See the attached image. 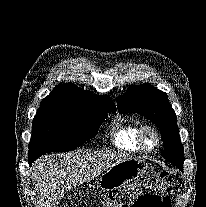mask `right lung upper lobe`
Listing matches in <instances>:
<instances>
[{
    "mask_svg": "<svg viewBox=\"0 0 206 207\" xmlns=\"http://www.w3.org/2000/svg\"><path fill=\"white\" fill-rule=\"evenodd\" d=\"M41 105L65 106L85 110L97 108L116 109L114 102L109 96H96L89 91L80 90L71 83L56 86L51 94L42 100Z\"/></svg>",
    "mask_w": 206,
    "mask_h": 207,
    "instance_id": "obj_1",
    "label": "right lung upper lobe"
}]
</instances>
